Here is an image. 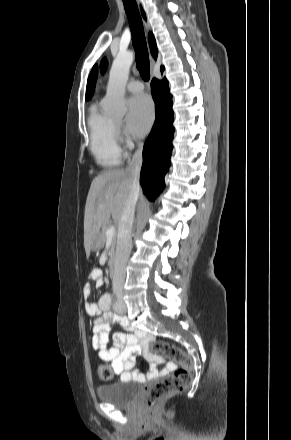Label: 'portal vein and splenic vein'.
<instances>
[{"mask_svg": "<svg viewBox=\"0 0 291 440\" xmlns=\"http://www.w3.org/2000/svg\"><path fill=\"white\" fill-rule=\"evenodd\" d=\"M115 233H116L115 227L111 226L106 230V237H113Z\"/></svg>", "mask_w": 291, "mask_h": 440, "instance_id": "obj_1", "label": "portal vein and splenic vein"}]
</instances>
